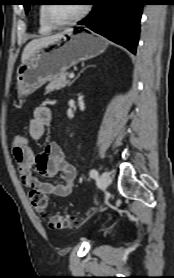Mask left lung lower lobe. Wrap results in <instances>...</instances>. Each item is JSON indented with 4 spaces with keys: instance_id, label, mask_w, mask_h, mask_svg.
<instances>
[{
    "instance_id": "1",
    "label": "left lung lower lobe",
    "mask_w": 174,
    "mask_h": 278,
    "mask_svg": "<svg viewBox=\"0 0 174 278\" xmlns=\"http://www.w3.org/2000/svg\"><path fill=\"white\" fill-rule=\"evenodd\" d=\"M91 4L92 11L78 24L135 53L143 0H92Z\"/></svg>"
}]
</instances>
